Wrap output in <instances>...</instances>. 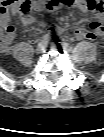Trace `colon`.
I'll return each instance as SVG.
<instances>
[{
  "mask_svg": "<svg viewBox=\"0 0 104 137\" xmlns=\"http://www.w3.org/2000/svg\"><path fill=\"white\" fill-rule=\"evenodd\" d=\"M30 2H31V0H5L4 6L7 8H12L15 10L26 12V11H29L31 8ZM53 7H55V4H53V3H49L46 5L47 10H51ZM93 26L97 27L99 25L94 24ZM13 32H14L13 26H11V25L2 26L1 25L0 41H2L5 38V36H7Z\"/></svg>",
  "mask_w": 104,
  "mask_h": 137,
  "instance_id": "colon-1",
  "label": "colon"
}]
</instances>
